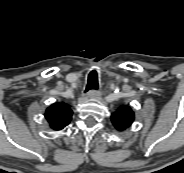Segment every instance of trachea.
<instances>
[{
	"label": "trachea",
	"mask_w": 184,
	"mask_h": 173,
	"mask_svg": "<svg viewBox=\"0 0 184 173\" xmlns=\"http://www.w3.org/2000/svg\"><path fill=\"white\" fill-rule=\"evenodd\" d=\"M99 87L98 76L95 70L91 71L88 75V83L86 86V91L97 90Z\"/></svg>",
	"instance_id": "obj_1"
}]
</instances>
